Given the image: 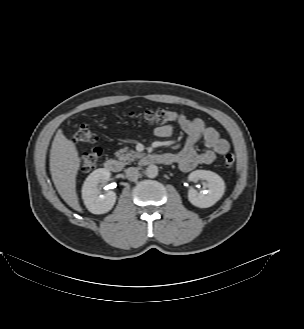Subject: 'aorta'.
<instances>
[{
	"label": "aorta",
	"mask_w": 304,
	"mask_h": 329,
	"mask_svg": "<svg viewBox=\"0 0 304 329\" xmlns=\"http://www.w3.org/2000/svg\"><path fill=\"white\" fill-rule=\"evenodd\" d=\"M146 175L149 178H155L158 175V167L156 165H149L146 168Z\"/></svg>",
	"instance_id": "aorta-1"
}]
</instances>
